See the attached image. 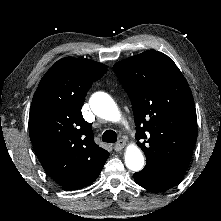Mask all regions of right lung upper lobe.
Returning <instances> with one entry per match:
<instances>
[{
	"label": "right lung upper lobe",
	"instance_id": "1",
	"mask_svg": "<svg viewBox=\"0 0 221 221\" xmlns=\"http://www.w3.org/2000/svg\"><path fill=\"white\" fill-rule=\"evenodd\" d=\"M106 71V65L92 60L62 58L43 76L31 103L29 133L37 157L69 190L92 184L109 157L81 113L89 88Z\"/></svg>",
	"mask_w": 221,
	"mask_h": 221
}]
</instances>
